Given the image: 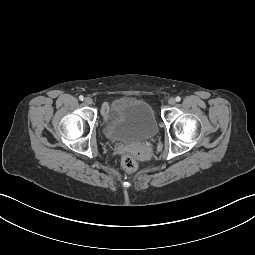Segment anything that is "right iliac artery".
Instances as JSON below:
<instances>
[{"label": "right iliac artery", "instance_id": "1", "mask_svg": "<svg viewBox=\"0 0 255 255\" xmlns=\"http://www.w3.org/2000/svg\"><path fill=\"white\" fill-rule=\"evenodd\" d=\"M79 99H80L81 101H83V100H84V97L81 95V96H79Z\"/></svg>", "mask_w": 255, "mask_h": 255}]
</instances>
